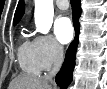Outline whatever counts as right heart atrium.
<instances>
[{"mask_svg": "<svg viewBox=\"0 0 107 89\" xmlns=\"http://www.w3.org/2000/svg\"><path fill=\"white\" fill-rule=\"evenodd\" d=\"M34 43L43 70L51 68L62 58L63 49L51 35H39L34 39Z\"/></svg>", "mask_w": 107, "mask_h": 89, "instance_id": "right-heart-atrium-1", "label": "right heart atrium"}]
</instances>
